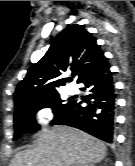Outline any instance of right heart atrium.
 <instances>
[{
  "instance_id": "1",
  "label": "right heart atrium",
  "mask_w": 135,
  "mask_h": 166,
  "mask_svg": "<svg viewBox=\"0 0 135 166\" xmlns=\"http://www.w3.org/2000/svg\"><path fill=\"white\" fill-rule=\"evenodd\" d=\"M54 119L55 112L49 106L40 107L34 114V122L37 129L45 128Z\"/></svg>"
}]
</instances>
